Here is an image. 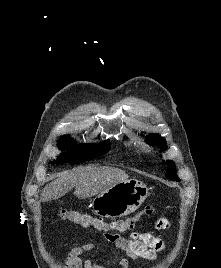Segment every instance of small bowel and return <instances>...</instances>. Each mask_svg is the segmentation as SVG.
I'll return each mask as SVG.
<instances>
[{"label": "small bowel", "mask_w": 221, "mask_h": 268, "mask_svg": "<svg viewBox=\"0 0 221 268\" xmlns=\"http://www.w3.org/2000/svg\"><path fill=\"white\" fill-rule=\"evenodd\" d=\"M168 221L161 217L155 222L156 229H165ZM103 239L112 244L110 253L115 256L118 251H123L128 258L117 261L118 268H130V260H156L158 254L164 250V242L151 233L132 231L128 236L120 232H104ZM101 248L93 243H83L70 249L64 260L65 268H110L108 265L96 260L85 259L90 252H101Z\"/></svg>", "instance_id": "small-bowel-1"}]
</instances>
